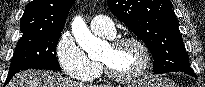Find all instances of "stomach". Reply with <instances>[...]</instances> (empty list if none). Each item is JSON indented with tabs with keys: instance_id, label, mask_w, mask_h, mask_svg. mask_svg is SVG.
<instances>
[{
	"instance_id": "stomach-1",
	"label": "stomach",
	"mask_w": 205,
	"mask_h": 87,
	"mask_svg": "<svg viewBox=\"0 0 205 87\" xmlns=\"http://www.w3.org/2000/svg\"><path fill=\"white\" fill-rule=\"evenodd\" d=\"M127 87H174V83L166 79H140Z\"/></svg>"
}]
</instances>
